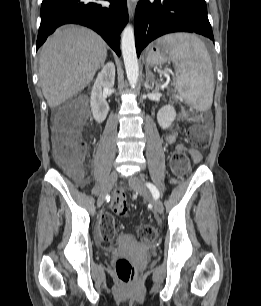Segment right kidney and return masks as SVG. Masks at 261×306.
<instances>
[{
    "label": "right kidney",
    "instance_id": "ca27d5eb",
    "mask_svg": "<svg viewBox=\"0 0 261 306\" xmlns=\"http://www.w3.org/2000/svg\"><path fill=\"white\" fill-rule=\"evenodd\" d=\"M115 80V66L108 62L103 66L92 87L90 106L94 119L102 123L108 114L109 105L103 95V89L112 88Z\"/></svg>",
    "mask_w": 261,
    "mask_h": 306
}]
</instances>
